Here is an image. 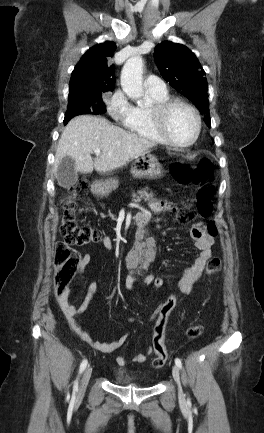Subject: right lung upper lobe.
Segmentation results:
<instances>
[{
    "label": "right lung upper lobe",
    "instance_id": "1",
    "mask_svg": "<svg viewBox=\"0 0 264 433\" xmlns=\"http://www.w3.org/2000/svg\"><path fill=\"white\" fill-rule=\"evenodd\" d=\"M116 49L114 42L106 41L90 48L72 72L69 98L89 96L112 91L115 86V67L110 58Z\"/></svg>",
    "mask_w": 264,
    "mask_h": 433
}]
</instances>
